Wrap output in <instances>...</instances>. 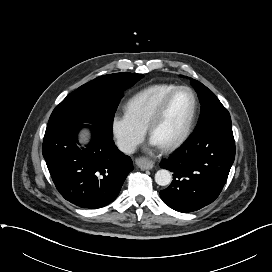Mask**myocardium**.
<instances>
[{"instance_id": "f54148a6", "label": "myocardium", "mask_w": 272, "mask_h": 272, "mask_svg": "<svg viewBox=\"0 0 272 272\" xmlns=\"http://www.w3.org/2000/svg\"><path fill=\"white\" fill-rule=\"evenodd\" d=\"M180 91H188L191 94L192 99H193V108H192L190 118H189L183 132L181 133V135L178 138H176L174 141L164 144V145H161V148L165 151H171V150H174V149L180 147L189 138V136L191 135V133L193 131V128H194V125H195V122L197 119V115H198V110H199L198 97H197L196 93L194 92V90L188 86H177L176 88H174L159 103V105L157 106L156 110L152 114V116L148 122V125H147V131H148L149 135L152 137V133H153L155 127L163 118L172 98Z\"/></svg>"}]
</instances>
